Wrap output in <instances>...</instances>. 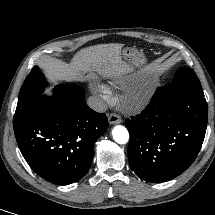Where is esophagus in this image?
<instances>
[{"label": "esophagus", "mask_w": 215, "mask_h": 215, "mask_svg": "<svg viewBox=\"0 0 215 215\" xmlns=\"http://www.w3.org/2000/svg\"><path fill=\"white\" fill-rule=\"evenodd\" d=\"M108 121L110 124H120L122 122L121 117L116 113H111L108 116Z\"/></svg>", "instance_id": "esophagus-1"}]
</instances>
